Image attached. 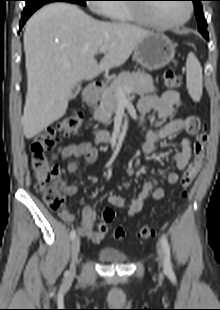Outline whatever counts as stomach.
I'll return each mask as SVG.
<instances>
[{"mask_svg":"<svg viewBox=\"0 0 220 310\" xmlns=\"http://www.w3.org/2000/svg\"><path fill=\"white\" fill-rule=\"evenodd\" d=\"M175 45L164 34L153 33L142 38L134 48V59L142 67L157 70L174 58Z\"/></svg>","mask_w":220,"mask_h":310,"instance_id":"obj_1","label":"stomach"}]
</instances>
